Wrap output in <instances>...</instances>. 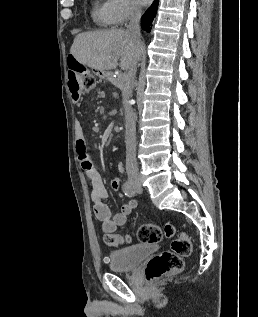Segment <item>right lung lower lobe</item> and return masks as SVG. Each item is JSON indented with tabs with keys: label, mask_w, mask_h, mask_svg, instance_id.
I'll return each mask as SVG.
<instances>
[{
	"label": "right lung lower lobe",
	"mask_w": 258,
	"mask_h": 317,
	"mask_svg": "<svg viewBox=\"0 0 258 317\" xmlns=\"http://www.w3.org/2000/svg\"><path fill=\"white\" fill-rule=\"evenodd\" d=\"M158 1L159 0H155L151 7L144 13V15L141 18V27L143 30L147 32L151 31L152 21L156 16L157 12Z\"/></svg>",
	"instance_id": "98d812e1"
}]
</instances>
